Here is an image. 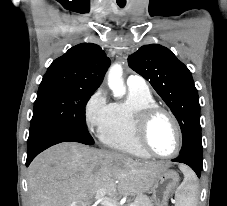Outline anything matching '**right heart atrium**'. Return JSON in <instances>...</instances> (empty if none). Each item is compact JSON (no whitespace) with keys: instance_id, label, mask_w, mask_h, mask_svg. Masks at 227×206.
<instances>
[{"instance_id":"right-heart-atrium-1","label":"right heart atrium","mask_w":227,"mask_h":206,"mask_svg":"<svg viewBox=\"0 0 227 206\" xmlns=\"http://www.w3.org/2000/svg\"><path fill=\"white\" fill-rule=\"evenodd\" d=\"M111 104L108 102L104 89H97L87 100L84 107V117L87 128L98 134L108 122Z\"/></svg>"}]
</instances>
